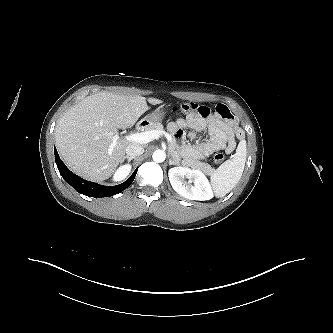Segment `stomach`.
Instances as JSON below:
<instances>
[{
  "label": "stomach",
  "mask_w": 333,
  "mask_h": 333,
  "mask_svg": "<svg viewBox=\"0 0 333 333\" xmlns=\"http://www.w3.org/2000/svg\"><path fill=\"white\" fill-rule=\"evenodd\" d=\"M167 110L168 109H166V107H159L155 111L147 114L142 121L146 122L149 125L154 122H159L164 118Z\"/></svg>",
  "instance_id": "stomach-1"
}]
</instances>
